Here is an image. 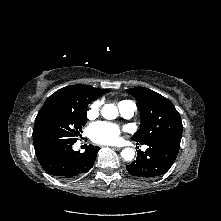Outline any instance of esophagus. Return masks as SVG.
I'll use <instances>...</instances> for the list:
<instances>
[{"instance_id": "obj_1", "label": "esophagus", "mask_w": 221, "mask_h": 221, "mask_svg": "<svg viewBox=\"0 0 221 221\" xmlns=\"http://www.w3.org/2000/svg\"><path fill=\"white\" fill-rule=\"evenodd\" d=\"M114 150H117V151H119V150H121L122 148L121 147H112Z\"/></svg>"}]
</instances>
